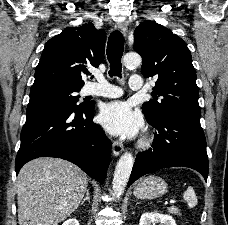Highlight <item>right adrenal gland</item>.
Segmentation results:
<instances>
[{
  "label": "right adrenal gland",
  "instance_id": "obj_1",
  "mask_svg": "<svg viewBox=\"0 0 228 225\" xmlns=\"http://www.w3.org/2000/svg\"><path fill=\"white\" fill-rule=\"evenodd\" d=\"M85 201H88V203H90L89 189H87V191H86V197H85V199H83V201H80V205H83V203H85Z\"/></svg>",
  "mask_w": 228,
  "mask_h": 225
}]
</instances>
